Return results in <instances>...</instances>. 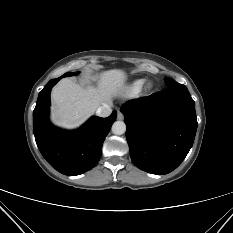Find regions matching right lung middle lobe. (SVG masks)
<instances>
[{"instance_id": "dd1d6c3e", "label": "right lung middle lobe", "mask_w": 233, "mask_h": 233, "mask_svg": "<svg viewBox=\"0 0 233 233\" xmlns=\"http://www.w3.org/2000/svg\"><path fill=\"white\" fill-rule=\"evenodd\" d=\"M77 74H78V72H68V73H65L64 75H62L59 78L61 79L63 77L73 76V75H77Z\"/></svg>"}]
</instances>
